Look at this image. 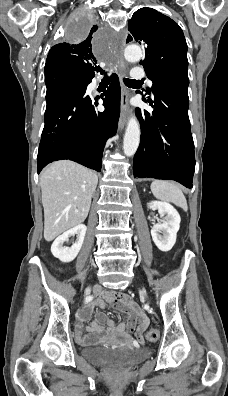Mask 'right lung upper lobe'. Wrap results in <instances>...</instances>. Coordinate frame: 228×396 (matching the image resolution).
I'll list each match as a JSON object with an SVG mask.
<instances>
[{
  "label": "right lung upper lobe",
  "instance_id": "right-lung-upper-lobe-1",
  "mask_svg": "<svg viewBox=\"0 0 228 396\" xmlns=\"http://www.w3.org/2000/svg\"><path fill=\"white\" fill-rule=\"evenodd\" d=\"M80 43H60L53 46L47 56L45 75L50 73L71 72L85 79L95 76L94 66L97 61L92 52V33Z\"/></svg>",
  "mask_w": 228,
  "mask_h": 396
}]
</instances>
